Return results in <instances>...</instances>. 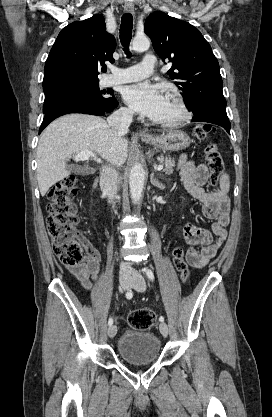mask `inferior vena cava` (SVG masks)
Here are the masks:
<instances>
[{
  "mask_svg": "<svg viewBox=\"0 0 272 417\" xmlns=\"http://www.w3.org/2000/svg\"><path fill=\"white\" fill-rule=\"evenodd\" d=\"M134 112L127 108H120L114 111L108 118V125L114 130L127 132L132 122ZM100 188L103 193L108 196L112 203L118 191V173L112 166H105L100 173ZM132 267L129 263L122 262L120 264V276H129Z\"/></svg>",
  "mask_w": 272,
  "mask_h": 417,
  "instance_id": "obj_1",
  "label": "inferior vena cava"
}]
</instances>
